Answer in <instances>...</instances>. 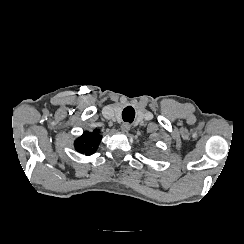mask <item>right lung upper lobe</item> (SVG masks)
<instances>
[{
  "label": "right lung upper lobe",
  "instance_id": "obj_1",
  "mask_svg": "<svg viewBox=\"0 0 244 244\" xmlns=\"http://www.w3.org/2000/svg\"><path fill=\"white\" fill-rule=\"evenodd\" d=\"M101 138L102 136L97 129L93 132L86 131L75 141V148L82 154L87 156L92 155L97 150Z\"/></svg>",
  "mask_w": 244,
  "mask_h": 244
}]
</instances>
